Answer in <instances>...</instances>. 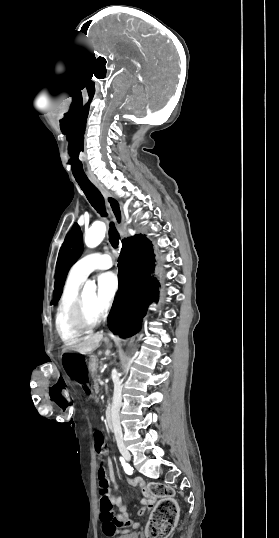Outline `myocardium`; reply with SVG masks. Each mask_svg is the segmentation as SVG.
<instances>
[{
  "label": "myocardium",
  "instance_id": "1",
  "mask_svg": "<svg viewBox=\"0 0 279 538\" xmlns=\"http://www.w3.org/2000/svg\"><path fill=\"white\" fill-rule=\"evenodd\" d=\"M103 319L102 312H93L85 298V292H80L67 313V324L74 331H89Z\"/></svg>",
  "mask_w": 279,
  "mask_h": 538
}]
</instances>
